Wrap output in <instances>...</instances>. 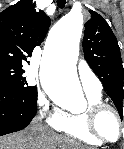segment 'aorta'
<instances>
[{"instance_id":"762f6f07","label":"aorta","mask_w":124,"mask_h":149,"mask_svg":"<svg viewBox=\"0 0 124 149\" xmlns=\"http://www.w3.org/2000/svg\"><path fill=\"white\" fill-rule=\"evenodd\" d=\"M82 28L81 13L72 11L62 17L51 29L40 69L46 94L71 108L85 105L76 71Z\"/></svg>"}]
</instances>
